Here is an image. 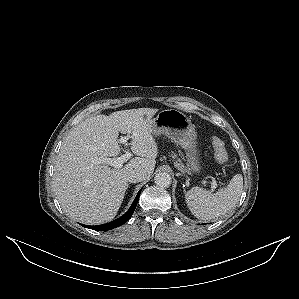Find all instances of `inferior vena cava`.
Wrapping results in <instances>:
<instances>
[{"label":"inferior vena cava","mask_w":299,"mask_h":299,"mask_svg":"<svg viewBox=\"0 0 299 299\" xmlns=\"http://www.w3.org/2000/svg\"><path fill=\"white\" fill-rule=\"evenodd\" d=\"M146 178V173L142 169H134L127 175V180L131 183L141 182Z\"/></svg>","instance_id":"inferior-vena-cava-1"}]
</instances>
